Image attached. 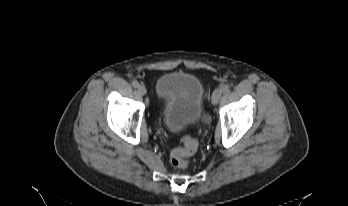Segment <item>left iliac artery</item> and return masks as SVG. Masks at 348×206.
<instances>
[{
	"label": "left iliac artery",
	"mask_w": 348,
	"mask_h": 206,
	"mask_svg": "<svg viewBox=\"0 0 348 206\" xmlns=\"http://www.w3.org/2000/svg\"><path fill=\"white\" fill-rule=\"evenodd\" d=\"M221 88H222V91H223V92H228L230 86H229V84H225V85H223Z\"/></svg>",
	"instance_id": "left-iliac-artery-1"
}]
</instances>
